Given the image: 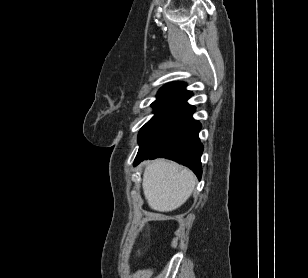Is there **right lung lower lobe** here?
I'll list each match as a JSON object with an SVG mask.
<instances>
[{
	"instance_id": "obj_1",
	"label": "right lung lower lobe",
	"mask_w": 308,
	"mask_h": 278,
	"mask_svg": "<svg viewBox=\"0 0 308 278\" xmlns=\"http://www.w3.org/2000/svg\"><path fill=\"white\" fill-rule=\"evenodd\" d=\"M195 108L174 119L157 135L139 147L134 165L144 159L165 157L188 166L198 178H201V155L203 145L198 132L201 124L192 118Z\"/></svg>"
}]
</instances>
